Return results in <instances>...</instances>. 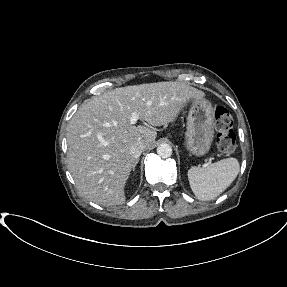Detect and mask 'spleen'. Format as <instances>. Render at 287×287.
I'll return each instance as SVG.
<instances>
[{"mask_svg": "<svg viewBox=\"0 0 287 287\" xmlns=\"http://www.w3.org/2000/svg\"><path fill=\"white\" fill-rule=\"evenodd\" d=\"M240 170L236 158H226L208 167H191L188 180L194 195L202 201L215 199L235 180Z\"/></svg>", "mask_w": 287, "mask_h": 287, "instance_id": "spleen-1", "label": "spleen"}]
</instances>
